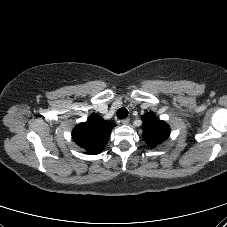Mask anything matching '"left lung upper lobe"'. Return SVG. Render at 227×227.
Listing matches in <instances>:
<instances>
[{
  "label": "left lung upper lobe",
  "mask_w": 227,
  "mask_h": 227,
  "mask_svg": "<svg viewBox=\"0 0 227 227\" xmlns=\"http://www.w3.org/2000/svg\"><path fill=\"white\" fill-rule=\"evenodd\" d=\"M142 120L143 139L150 147L155 148L169 137V125L158 120L152 112L145 113Z\"/></svg>",
  "instance_id": "left-lung-upper-lobe-1"
}]
</instances>
